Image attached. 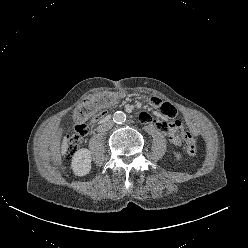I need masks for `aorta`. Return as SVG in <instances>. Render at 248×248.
I'll return each instance as SVG.
<instances>
[{
	"label": "aorta",
	"instance_id": "1",
	"mask_svg": "<svg viewBox=\"0 0 248 248\" xmlns=\"http://www.w3.org/2000/svg\"><path fill=\"white\" fill-rule=\"evenodd\" d=\"M126 120V114L122 111H117L113 115V121L115 123H123Z\"/></svg>",
	"mask_w": 248,
	"mask_h": 248
}]
</instances>
